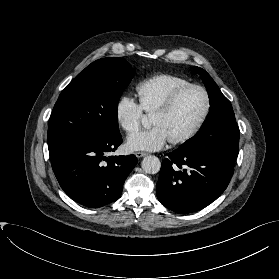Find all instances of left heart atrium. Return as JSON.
Masks as SVG:
<instances>
[{"mask_svg":"<svg viewBox=\"0 0 279 279\" xmlns=\"http://www.w3.org/2000/svg\"><path fill=\"white\" fill-rule=\"evenodd\" d=\"M169 138L162 128L154 126L152 129L131 135L127 139L130 151H159L169 142Z\"/></svg>","mask_w":279,"mask_h":279,"instance_id":"left-heart-atrium-1","label":"left heart atrium"}]
</instances>
